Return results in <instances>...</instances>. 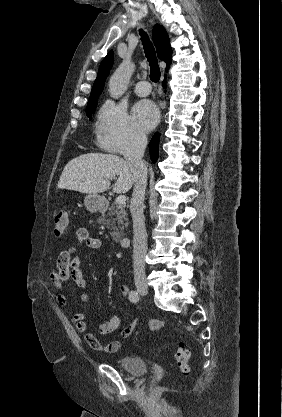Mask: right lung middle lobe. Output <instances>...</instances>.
<instances>
[{
	"mask_svg": "<svg viewBox=\"0 0 282 417\" xmlns=\"http://www.w3.org/2000/svg\"><path fill=\"white\" fill-rule=\"evenodd\" d=\"M99 95L91 96L86 107V115L91 119V115L95 112L97 107Z\"/></svg>",
	"mask_w": 282,
	"mask_h": 417,
	"instance_id": "dd1d6c3e",
	"label": "right lung middle lobe"
}]
</instances>
